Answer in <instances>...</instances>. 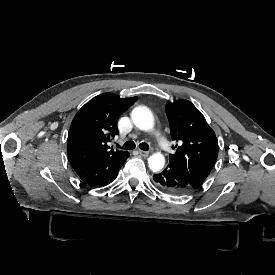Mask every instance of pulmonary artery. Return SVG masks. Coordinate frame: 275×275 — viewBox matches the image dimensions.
I'll list each match as a JSON object with an SVG mask.
<instances>
[{"instance_id": "e3ab8cb5", "label": "pulmonary artery", "mask_w": 275, "mask_h": 275, "mask_svg": "<svg viewBox=\"0 0 275 275\" xmlns=\"http://www.w3.org/2000/svg\"><path fill=\"white\" fill-rule=\"evenodd\" d=\"M152 137H153L154 139H159V138L161 137V131H160L159 129H154V130L152 131ZM118 142H119V143H122L123 141H122V140H119Z\"/></svg>"}]
</instances>
